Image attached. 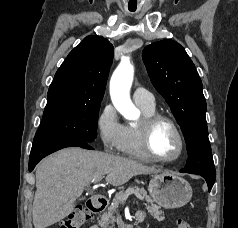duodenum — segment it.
Instances as JSON below:
<instances>
[{"label":"duodenum","mask_w":238,"mask_h":228,"mask_svg":"<svg viewBox=\"0 0 238 228\" xmlns=\"http://www.w3.org/2000/svg\"><path fill=\"white\" fill-rule=\"evenodd\" d=\"M107 204H108L107 198L103 196H96L88 200L87 208L89 211L93 213H100L106 208ZM143 218H144V214L142 211H137L135 213V219L137 221H142Z\"/></svg>","instance_id":"1"}]
</instances>
